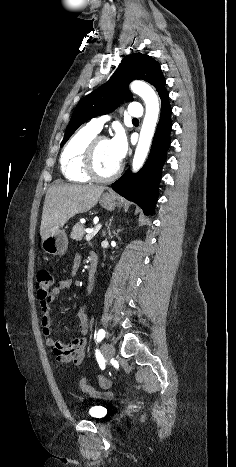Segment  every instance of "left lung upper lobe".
Returning a JSON list of instances; mask_svg holds the SVG:
<instances>
[{
  "label": "left lung upper lobe",
  "mask_w": 236,
  "mask_h": 467,
  "mask_svg": "<svg viewBox=\"0 0 236 467\" xmlns=\"http://www.w3.org/2000/svg\"><path fill=\"white\" fill-rule=\"evenodd\" d=\"M134 79H143L149 82L159 94L165 90L164 76L157 61L141 53L124 57L109 81L85 96L77 104L61 146L84 122L113 111L123 100H132L128 84Z\"/></svg>",
  "instance_id": "obj_1"
}]
</instances>
